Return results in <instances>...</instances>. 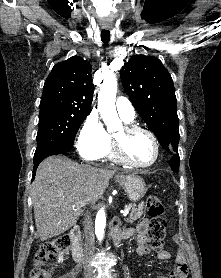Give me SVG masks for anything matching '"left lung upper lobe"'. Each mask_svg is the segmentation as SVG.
<instances>
[{"label":"left lung upper lobe","mask_w":221,"mask_h":278,"mask_svg":"<svg viewBox=\"0 0 221 278\" xmlns=\"http://www.w3.org/2000/svg\"><path fill=\"white\" fill-rule=\"evenodd\" d=\"M125 92L167 151L178 152L179 128L172 78L154 56L135 55L120 71Z\"/></svg>","instance_id":"5c2ea615"}]
</instances>
